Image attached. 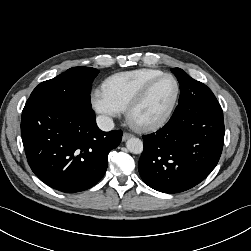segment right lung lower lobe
I'll list each match as a JSON object with an SVG mask.
<instances>
[{
	"mask_svg": "<svg viewBox=\"0 0 251 251\" xmlns=\"http://www.w3.org/2000/svg\"><path fill=\"white\" fill-rule=\"evenodd\" d=\"M28 163L48 186L74 193L94 186L105 174L108 154L122 132L101 131L91 108L74 109L28 99L21 119Z\"/></svg>",
	"mask_w": 251,
	"mask_h": 251,
	"instance_id": "right-lung-lower-lobe-1",
	"label": "right lung lower lobe"
}]
</instances>
